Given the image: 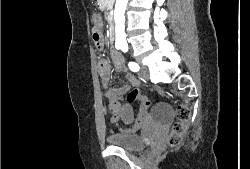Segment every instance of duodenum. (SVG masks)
Instances as JSON below:
<instances>
[{
	"label": "duodenum",
	"instance_id": "1",
	"mask_svg": "<svg viewBox=\"0 0 250 169\" xmlns=\"http://www.w3.org/2000/svg\"><path fill=\"white\" fill-rule=\"evenodd\" d=\"M108 36L111 42L115 41V26L113 20L111 21V24L108 28Z\"/></svg>",
	"mask_w": 250,
	"mask_h": 169
}]
</instances>
